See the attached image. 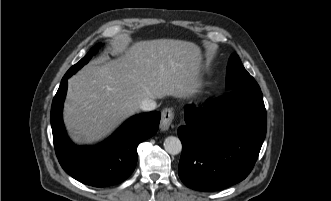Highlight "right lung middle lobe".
I'll return each instance as SVG.
<instances>
[{"label":"right lung middle lobe","instance_id":"dd1d6c3e","mask_svg":"<svg viewBox=\"0 0 331 201\" xmlns=\"http://www.w3.org/2000/svg\"><path fill=\"white\" fill-rule=\"evenodd\" d=\"M101 44H98L94 46L85 57H83L78 63H76L74 66H72L65 75L71 76L74 73H76L82 66H84L88 61L91 59V57L97 52Z\"/></svg>","mask_w":331,"mask_h":201}]
</instances>
